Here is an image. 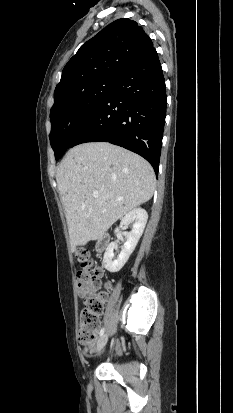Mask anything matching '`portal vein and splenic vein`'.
<instances>
[{"instance_id": "obj_1", "label": "portal vein and splenic vein", "mask_w": 233, "mask_h": 413, "mask_svg": "<svg viewBox=\"0 0 233 413\" xmlns=\"http://www.w3.org/2000/svg\"><path fill=\"white\" fill-rule=\"evenodd\" d=\"M99 196L98 192H93V197L97 198Z\"/></svg>"}]
</instances>
